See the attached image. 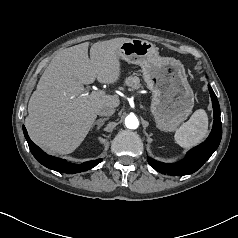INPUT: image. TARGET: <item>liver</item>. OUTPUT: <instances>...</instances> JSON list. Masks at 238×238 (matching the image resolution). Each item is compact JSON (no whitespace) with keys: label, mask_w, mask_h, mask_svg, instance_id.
Here are the masks:
<instances>
[{"label":"liver","mask_w":238,"mask_h":238,"mask_svg":"<svg viewBox=\"0 0 238 238\" xmlns=\"http://www.w3.org/2000/svg\"><path fill=\"white\" fill-rule=\"evenodd\" d=\"M128 38L81 43L59 51L42 74L28 103L25 119L30 138L44 150L72 153L85 139L97 109L118 107L116 96L84 94V84L96 79L113 84L120 77L118 49Z\"/></svg>","instance_id":"obj_1"}]
</instances>
